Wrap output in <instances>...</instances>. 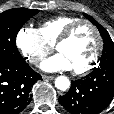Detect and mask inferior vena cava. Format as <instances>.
Wrapping results in <instances>:
<instances>
[{
    "mask_svg": "<svg viewBox=\"0 0 114 114\" xmlns=\"http://www.w3.org/2000/svg\"><path fill=\"white\" fill-rule=\"evenodd\" d=\"M30 62H32V63H37V62H39V58H36V57H35V58L31 59Z\"/></svg>",
    "mask_w": 114,
    "mask_h": 114,
    "instance_id": "obj_1",
    "label": "inferior vena cava"
}]
</instances>
